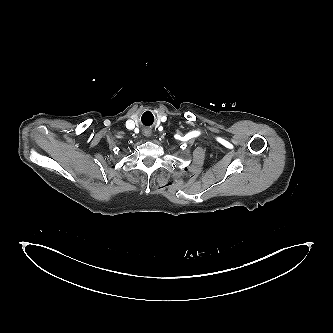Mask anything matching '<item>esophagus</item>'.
Returning <instances> with one entry per match:
<instances>
[{
    "label": "esophagus",
    "instance_id": "34e87169",
    "mask_svg": "<svg viewBox=\"0 0 333 333\" xmlns=\"http://www.w3.org/2000/svg\"><path fill=\"white\" fill-rule=\"evenodd\" d=\"M144 134H145V136H150V135H151V132H150L149 130H146V131L144 132Z\"/></svg>",
    "mask_w": 333,
    "mask_h": 333
}]
</instances>
